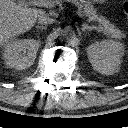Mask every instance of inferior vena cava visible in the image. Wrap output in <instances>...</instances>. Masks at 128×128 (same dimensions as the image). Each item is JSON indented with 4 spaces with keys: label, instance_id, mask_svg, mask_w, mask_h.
I'll return each mask as SVG.
<instances>
[{
    "label": "inferior vena cava",
    "instance_id": "1",
    "mask_svg": "<svg viewBox=\"0 0 128 128\" xmlns=\"http://www.w3.org/2000/svg\"><path fill=\"white\" fill-rule=\"evenodd\" d=\"M54 22V19L49 17L47 14L42 13L38 16V23L40 24H51Z\"/></svg>",
    "mask_w": 128,
    "mask_h": 128
}]
</instances>
